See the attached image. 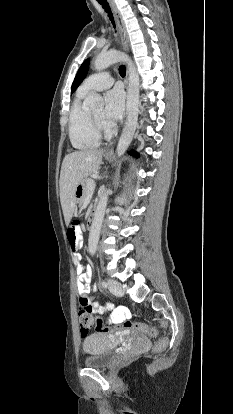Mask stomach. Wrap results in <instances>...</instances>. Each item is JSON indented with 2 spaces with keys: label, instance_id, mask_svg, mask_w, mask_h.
I'll list each match as a JSON object with an SVG mask.
<instances>
[{
  "label": "stomach",
  "instance_id": "stomach-1",
  "mask_svg": "<svg viewBox=\"0 0 233 414\" xmlns=\"http://www.w3.org/2000/svg\"><path fill=\"white\" fill-rule=\"evenodd\" d=\"M105 158L110 159L111 157L109 155H105ZM75 197L78 198L79 200L83 199L84 197V183L83 182L77 186L76 191H75Z\"/></svg>",
  "mask_w": 233,
  "mask_h": 414
}]
</instances>
